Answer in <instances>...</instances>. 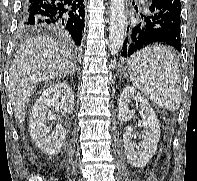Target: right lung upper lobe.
Returning a JSON list of instances; mask_svg holds the SVG:
<instances>
[{"label":"right lung upper lobe","instance_id":"right-lung-upper-lobe-1","mask_svg":"<svg viewBox=\"0 0 197 181\" xmlns=\"http://www.w3.org/2000/svg\"><path fill=\"white\" fill-rule=\"evenodd\" d=\"M22 30L23 31H35V30H42V28H38V27H23Z\"/></svg>","mask_w":197,"mask_h":181}]
</instances>
